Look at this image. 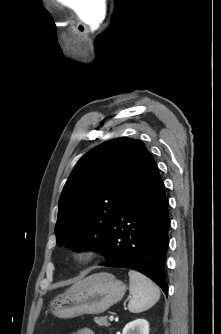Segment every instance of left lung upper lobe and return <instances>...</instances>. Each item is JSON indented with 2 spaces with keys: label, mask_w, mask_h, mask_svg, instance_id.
<instances>
[{
  "label": "left lung upper lobe",
  "mask_w": 221,
  "mask_h": 334,
  "mask_svg": "<svg viewBox=\"0 0 221 334\" xmlns=\"http://www.w3.org/2000/svg\"><path fill=\"white\" fill-rule=\"evenodd\" d=\"M153 162L145 145L130 138L105 141L85 154L60 196L57 244L104 253L114 218Z\"/></svg>",
  "instance_id": "1"
}]
</instances>
